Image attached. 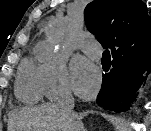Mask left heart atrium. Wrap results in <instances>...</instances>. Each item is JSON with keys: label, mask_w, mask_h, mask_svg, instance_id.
Masks as SVG:
<instances>
[{"label": "left heart atrium", "mask_w": 151, "mask_h": 131, "mask_svg": "<svg viewBox=\"0 0 151 131\" xmlns=\"http://www.w3.org/2000/svg\"><path fill=\"white\" fill-rule=\"evenodd\" d=\"M100 73L88 60L77 58L73 63L72 82L77 95L89 98L95 94L100 85Z\"/></svg>", "instance_id": "left-heart-atrium-1"}]
</instances>
